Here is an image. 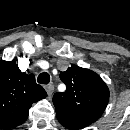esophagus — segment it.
Listing matches in <instances>:
<instances>
[{
    "instance_id": "obj_1",
    "label": "esophagus",
    "mask_w": 130,
    "mask_h": 130,
    "mask_svg": "<svg viewBox=\"0 0 130 130\" xmlns=\"http://www.w3.org/2000/svg\"><path fill=\"white\" fill-rule=\"evenodd\" d=\"M45 90H46L47 94L50 96L54 91V86L52 84L46 85Z\"/></svg>"
}]
</instances>
